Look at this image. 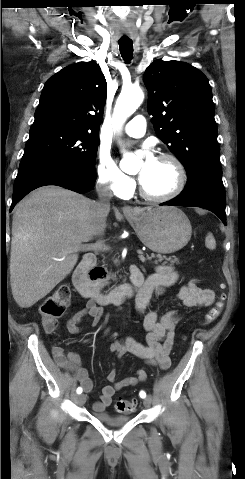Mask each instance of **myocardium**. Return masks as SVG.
Instances as JSON below:
<instances>
[{
    "label": "myocardium",
    "instance_id": "obj_1",
    "mask_svg": "<svg viewBox=\"0 0 245 479\" xmlns=\"http://www.w3.org/2000/svg\"><path fill=\"white\" fill-rule=\"evenodd\" d=\"M156 159L167 160L172 163L176 172V181L173 188L169 192L163 195L156 196V195H151L147 193L140 182L138 190H139L140 196L146 201L153 202V203H163V202H167L174 199L183 191L186 185L187 174H186V170L183 163L180 161V159L176 155L172 153L162 152L156 157Z\"/></svg>",
    "mask_w": 245,
    "mask_h": 479
}]
</instances>
